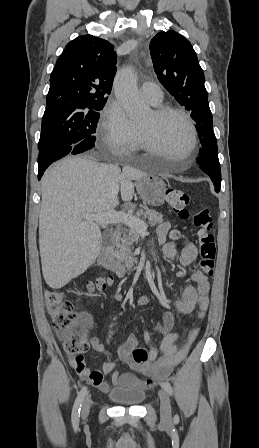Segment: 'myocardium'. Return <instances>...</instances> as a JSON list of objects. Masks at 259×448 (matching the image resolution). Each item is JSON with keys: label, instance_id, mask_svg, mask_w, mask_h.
Here are the masks:
<instances>
[{"label": "myocardium", "instance_id": "1", "mask_svg": "<svg viewBox=\"0 0 259 448\" xmlns=\"http://www.w3.org/2000/svg\"><path fill=\"white\" fill-rule=\"evenodd\" d=\"M151 114H152V118L155 122H157L169 115H177L185 121V123L187 124L189 131H190V141L186 148L185 158H186V160L190 161L191 163H194L195 156H196L195 148L197 145L198 134H197L196 126H195L193 120L191 119V117L188 115V113H186L182 108H179V107L170 106V105H158L152 109ZM139 133H140V137H141L144 149L147 153L155 154L157 151L162 149L155 139L152 128L139 126ZM152 171H156V170H152Z\"/></svg>", "mask_w": 259, "mask_h": 448}]
</instances>
